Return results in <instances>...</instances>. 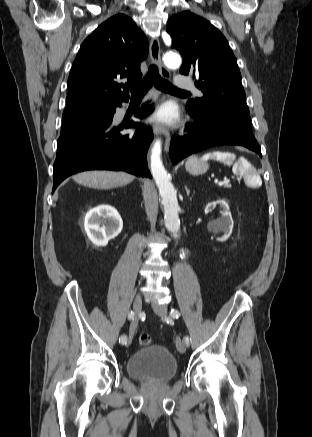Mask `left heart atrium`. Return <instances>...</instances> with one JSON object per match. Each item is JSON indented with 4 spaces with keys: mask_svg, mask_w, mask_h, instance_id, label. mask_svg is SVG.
<instances>
[{
    "mask_svg": "<svg viewBox=\"0 0 312 437\" xmlns=\"http://www.w3.org/2000/svg\"><path fill=\"white\" fill-rule=\"evenodd\" d=\"M156 121L174 123L178 120V115L175 108L170 104H165L158 109L154 115Z\"/></svg>",
    "mask_w": 312,
    "mask_h": 437,
    "instance_id": "39dd6f15",
    "label": "left heart atrium"
}]
</instances>
